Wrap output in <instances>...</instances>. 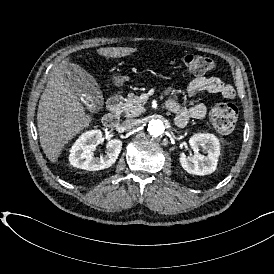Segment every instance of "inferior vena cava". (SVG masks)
<instances>
[{"mask_svg":"<svg viewBox=\"0 0 274 274\" xmlns=\"http://www.w3.org/2000/svg\"><path fill=\"white\" fill-rule=\"evenodd\" d=\"M122 126L126 131H134L140 126V122L138 119L129 118L122 123Z\"/></svg>","mask_w":274,"mask_h":274,"instance_id":"1","label":"inferior vena cava"}]
</instances>
